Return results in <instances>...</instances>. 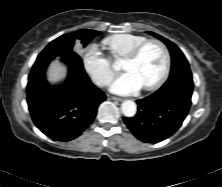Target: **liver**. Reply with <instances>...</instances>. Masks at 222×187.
Returning <instances> with one entry per match:
<instances>
[{
    "instance_id": "liver-1",
    "label": "liver",
    "mask_w": 222,
    "mask_h": 187,
    "mask_svg": "<svg viewBox=\"0 0 222 187\" xmlns=\"http://www.w3.org/2000/svg\"><path fill=\"white\" fill-rule=\"evenodd\" d=\"M66 76V68L59 61L51 63L48 71L49 80L57 82L64 79Z\"/></svg>"
}]
</instances>
